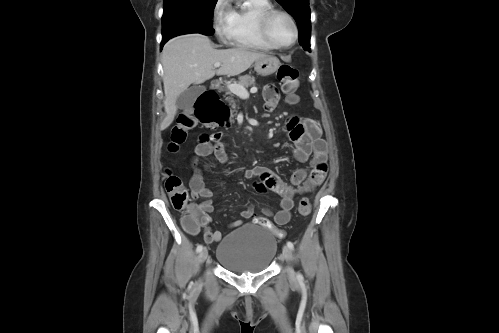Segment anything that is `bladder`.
<instances>
[{"instance_id": "1", "label": "bladder", "mask_w": 499, "mask_h": 333, "mask_svg": "<svg viewBox=\"0 0 499 333\" xmlns=\"http://www.w3.org/2000/svg\"><path fill=\"white\" fill-rule=\"evenodd\" d=\"M276 251L277 240L269 231L245 224L221 239L216 260L235 274L261 273L268 270Z\"/></svg>"}]
</instances>
